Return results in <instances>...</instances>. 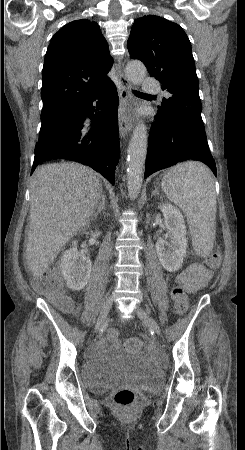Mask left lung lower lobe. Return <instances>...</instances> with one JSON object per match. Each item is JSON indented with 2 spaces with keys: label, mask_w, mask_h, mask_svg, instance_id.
<instances>
[{
  "label": "left lung lower lobe",
  "mask_w": 245,
  "mask_h": 450,
  "mask_svg": "<svg viewBox=\"0 0 245 450\" xmlns=\"http://www.w3.org/2000/svg\"><path fill=\"white\" fill-rule=\"evenodd\" d=\"M186 160H200L217 175L206 136L182 120L157 112L149 134L144 178Z\"/></svg>",
  "instance_id": "0a47b994"
}]
</instances>
